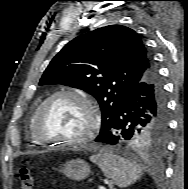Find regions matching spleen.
Masks as SVG:
<instances>
[{
	"mask_svg": "<svg viewBox=\"0 0 188 189\" xmlns=\"http://www.w3.org/2000/svg\"><path fill=\"white\" fill-rule=\"evenodd\" d=\"M104 175L120 188L130 186L142 176V169L135 163L109 152L98 153L90 157Z\"/></svg>",
	"mask_w": 188,
	"mask_h": 189,
	"instance_id": "obj_1",
	"label": "spleen"
}]
</instances>
